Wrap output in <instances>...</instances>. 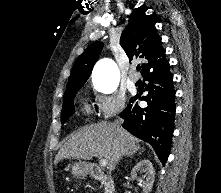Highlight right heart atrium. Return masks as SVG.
<instances>
[{
	"instance_id": "obj_1",
	"label": "right heart atrium",
	"mask_w": 221,
	"mask_h": 193,
	"mask_svg": "<svg viewBox=\"0 0 221 193\" xmlns=\"http://www.w3.org/2000/svg\"><path fill=\"white\" fill-rule=\"evenodd\" d=\"M126 104L124 94L119 92H111L109 94H96L95 107L98 115L104 119L112 118L121 113Z\"/></svg>"
}]
</instances>
